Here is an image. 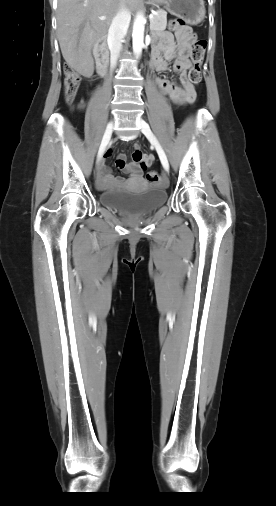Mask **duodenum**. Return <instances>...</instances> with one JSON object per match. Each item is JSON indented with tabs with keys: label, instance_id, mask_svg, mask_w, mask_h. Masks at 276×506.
<instances>
[{
	"label": "duodenum",
	"instance_id": "duodenum-1",
	"mask_svg": "<svg viewBox=\"0 0 276 506\" xmlns=\"http://www.w3.org/2000/svg\"><path fill=\"white\" fill-rule=\"evenodd\" d=\"M106 36L100 38L96 43L95 53L97 57V66L100 73H104L108 67L109 54L106 48Z\"/></svg>",
	"mask_w": 276,
	"mask_h": 506
}]
</instances>
